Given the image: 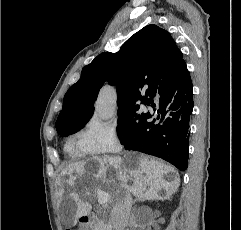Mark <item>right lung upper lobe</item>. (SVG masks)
Returning a JSON list of instances; mask_svg holds the SVG:
<instances>
[{
    "label": "right lung upper lobe",
    "instance_id": "obj_1",
    "mask_svg": "<svg viewBox=\"0 0 241 230\" xmlns=\"http://www.w3.org/2000/svg\"><path fill=\"white\" fill-rule=\"evenodd\" d=\"M183 60L171 35L156 25H148L131 36L116 53L104 52L82 69L81 77L64 96L57 131L87 123L99 89L108 82L115 85L118 105L147 103L165 75Z\"/></svg>",
    "mask_w": 241,
    "mask_h": 230
}]
</instances>
